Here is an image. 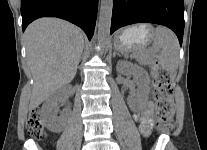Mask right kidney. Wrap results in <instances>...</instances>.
<instances>
[{"label":"right kidney","mask_w":207,"mask_h":150,"mask_svg":"<svg viewBox=\"0 0 207 150\" xmlns=\"http://www.w3.org/2000/svg\"><path fill=\"white\" fill-rule=\"evenodd\" d=\"M71 92L70 87L64 86L55 91L42 106V119L45 126L54 133H59L63 130L64 120L58 117V104L64 100Z\"/></svg>","instance_id":"obj_1"}]
</instances>
